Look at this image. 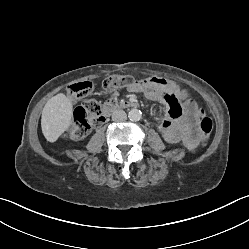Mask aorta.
Instances as JSON below:
<instances>
[{
	"label": "aorta",
	"mask_w": 249,
	"mask_h": 249,
	"mask_svg": "<svg viewBox=\"0 0 249 249\" xmlns=\"http://www.w3.org/2000/svg\"><path fill=\"white\" fill-rule=\"evenodd\" d=\"M141 116V111L136 108H132L128 113V117L131 121H139L141 119Z\"/></svg>",
	"instance_id": "1"
}]
</instances>
